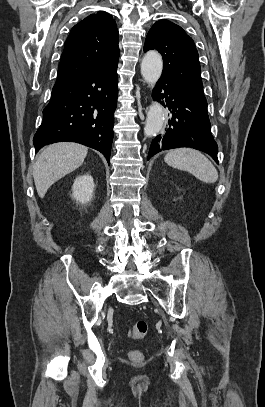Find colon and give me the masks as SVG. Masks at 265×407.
<instances>
[{
	"label": "colon",
	"instance_id": "colon-1",
	"mask_svg": "<svg viewBox=\"0 0 265 407\" xmlns=\"http://www.w3.org/2000/svg\"><path fill=\"white\" fill-rule=\"evenodd\" d=\"M148 331V323L144 320L137 321L129 328V337L134 340H141ZM130 360L140 362L143 360V353L140 350H131L128 353Z\"/></svg>",
	"mask_w": 265,
	"mask_h": 407
}]
</instances>
